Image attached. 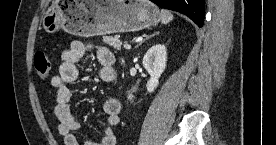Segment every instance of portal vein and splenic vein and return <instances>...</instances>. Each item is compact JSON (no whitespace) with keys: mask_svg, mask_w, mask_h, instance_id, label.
Wrapping results in <instances>:
<instances>
[{"mask_svg":"<svg viewBox=\"0 0 276 145\" xmlns=\"http://www.w3.org/2000/svg\"><path fill=\"white\" fill-rule=\"evenodd\" d=\"M124 48L127 49V50H130V49H131V45H129V44H124Z\"/></svg>","mask_w":276,"mask_h":145,"instance_id":"portal-vein-and-splenic-vein-1","label":"portal vein and splenic vein"}]
</instances>
